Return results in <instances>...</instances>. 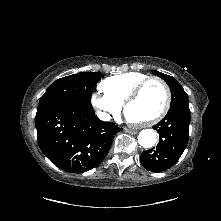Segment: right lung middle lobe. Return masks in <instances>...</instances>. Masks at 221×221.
I'll list each match as a JSON object with an SVG mask.
<instances>
[{"label": "right lung middle lobe", "instance_id": "obj_1", "mask_svg": "<svg viewBox=\"0 0 221 221\" xmlns=\"http://www.w3.org/2000/svg\"><path fill=\"white\" fill-rule=\"evenodd\" d=\"M101 78L99 72H80L54 81L40 98L37 113L65 102L91 106L93 88Z\"/></svg>", "mask_w": 221, "mask_h": 221}]
</instances>
